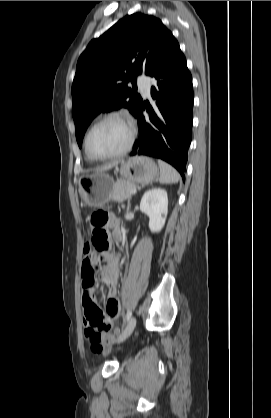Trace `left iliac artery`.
I'll use <instances>...</instances> for the list:
<instances>
[{"label":"left iliac artery","mask_w":271,"mask_h":418,"mask_svg":"<svg viewBox=\"0 0 271 418\" xmlns=\"http://www.w3.org/2000/svg\"><path fill=\"white\" fill-rule=\"evenodd\" d=\"M131 316H132V313H131V311L128 310L127 314H126V321L127 322L130 320Z\"/></svg>","instance_id":"obj_1"}]
</instances>
